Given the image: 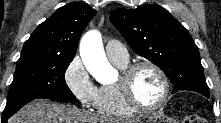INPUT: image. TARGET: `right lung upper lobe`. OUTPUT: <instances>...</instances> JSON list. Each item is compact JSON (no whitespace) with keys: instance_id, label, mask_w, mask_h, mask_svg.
I'll return each instance as SVG.
<instances>
[{"instance_id":"obj_1","label":"right lung upper lobe","mask_w":221,"mask_h":123,"mask_svg":"<svg viewBox=\"0 0 221 123\" xmlns=\"http://www.w3.org/2000/svg\"><path fill=\"white\" fill-rule=\"evenodd\" d=\"M96 11L86 4L69 3L41 23L24 43L21 54L75 56L80 36Z\"/></svg>"}]
</instances>
